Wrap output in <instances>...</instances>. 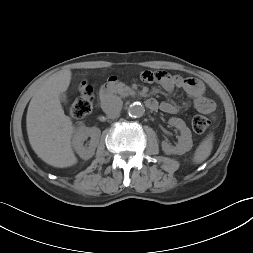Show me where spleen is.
Listing matches in <instances>:
<instances>
[{
	"label": "spleen",
	"instance_id": "spleen-1",
	"mask_svg": "<svg viewBox=\"0 0 253 253\" xmlns=\"http://www.w3.org/2000/svg\"><path fill=\"white\" fill-rule=\"evenodd\" d=\"M213 148V134H209L197 147L194 156L193 162L195 164H200L205 161L211 154Z\"/></svg>",
	"mask_w": 253,
	"mask_h": 253
}]
</instances>
